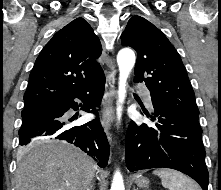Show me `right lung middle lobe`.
<instances>
[{
    "mask_svg": "<svg viewBox=\"0 0 221 190\" xmlns=\"http://www.w3.org/2000/svg\"><path fill=\"white\" fill-rule=\"evenodd\" d=\"M46 107V106H44ZM44 107H40V108H32V109H23L21 115H22V119L31 116L32 114L38 112L39 110L43 109Z\"/></svg>",
    "mask_w": 221,
    "mask_h": 190,
    "instance_id": "obj_1",
    "label": "right lung middle lobe"
}]
</instances>
